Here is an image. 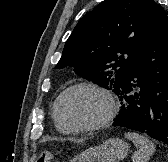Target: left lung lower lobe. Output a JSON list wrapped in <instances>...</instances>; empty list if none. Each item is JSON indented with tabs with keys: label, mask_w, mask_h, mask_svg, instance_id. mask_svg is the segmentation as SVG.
I'll use <instances>...</instances> for the list:
<instances>
[{
	"label": "left lung lower lobe",
	"mask_w": 168,
	"mask_h": 162,
	"mask_svg": "<svg viewBox=\"0 0 168 162\" xmlns=\"http://www.w3.org/2000/svg\"><path fill=\"white\" fill-rule=\"evenodd\" d=\"M121 109L113 126L168 144V19L135 59L116 92Z\"/></svg>",
	"instance_id": "left-lung-lower-lobe-1"
}]
</instances>
